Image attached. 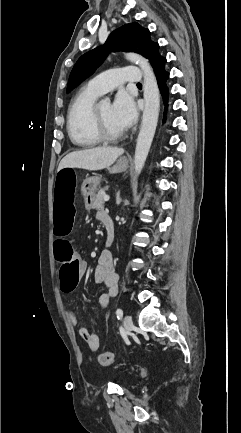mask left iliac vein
Listing matches in <instances>:
<instances>
[{"instance_id":"obj_1","label":"left iliac vein","mask_w":241,"mask_h":433,"mask_svg":"<svg viewBox=\"0 0 241 433\" xmlns=\"http://www.w3.org/2000/svg\"><path fill=\"white\" fill-rule=\"evenodd\" d=\"M123 323L126 333L129 334L133 328L132 318L129 315H126L123 319Z\"/></svg>"}]
</instances>
